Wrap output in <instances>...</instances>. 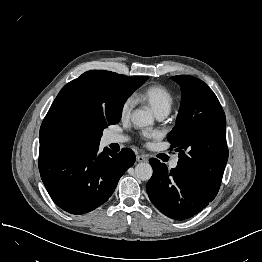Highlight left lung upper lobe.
Returning a JSON list of instances; mask_svg holds the SVG:
<instances>
[{"mask_svg":"<svg viewBox=\"0 0 262 262\" xmlns=\"http://www.w3.org/2000/svg\"><path fill=\"white\" fill-rule=\"evenodd\" d=\"M182 89L176 126L167 139L179 152L178 170L212 199L218 193L228 159L226 117L206 83L198 78L172 76Z\"/></svg>","mask_w":262,"mask_h":262,"instance_id":"5c2ea615","label":"left lung upper lobe"}]
</instances>
